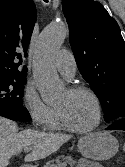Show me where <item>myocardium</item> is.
I'll return each mask as SVG.
<instances>
[{"instance_id": "f54148a6", "label": "myocardium", "mask_w": 125, "mask_h": 167, "mask_svg": "<svg viewBox=\"0 0 125 167\" xmlns=\"http://www.w3.org/2000/svg\"><path fill=\"white\" fill-rule=\"evenodd\" d=\"M67 92L71 95H76L79 93H85V94L89 95L93 99V101L95 102V105L97 108V120L92 126H90L88 128H83V129L77 128L69 121L65 112L60 107L56 106V110L59 114L60 121H61L63 127L65 129H67L68 131L78 133V134L89 133V132L96 130L100 126L101 121H102V116H103L102 104H101V101H100L99 97L97 96V94L91 88H89L87 86H83V85L71 86L67 89Z\"/></svg>"}]
</instances>
